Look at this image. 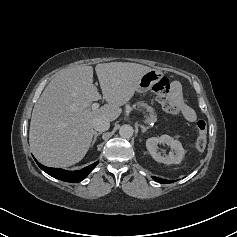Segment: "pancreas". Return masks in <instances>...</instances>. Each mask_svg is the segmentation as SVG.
Segmentation results:
<instances>
[{"label":"pancreas","instance_id":"cf45deb5","mask_svg":"<svg viewBox=\"0 0 237 237\" xmlns=\"http://www.w3.org/2000/svg\"><path fill=\"white\" fill-rule=\"evenodd\" d=\"M136 105L138 106V108H140V110H142V111L145 110L144 113H145L146 121L148 123H154L157 121V115L154 112L153 107L149 106L144 101H139L136 103Z\"/></svg>","mask_w":237,"mask_h":237}]
</instances>
